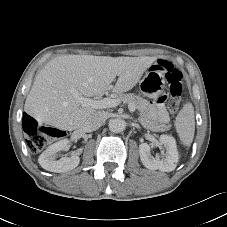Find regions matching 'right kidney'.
<instances>
[{"mask_svg": "<svg viewBox=\"0 0 227 227\" xmlns=\"http://www.w3.org/2000/svg\"><path fill=\"white\" fill-rule=\"evenodd\" d=\"M68 143L67 139H63L49 146L38 158L41 167L56 173L67 172L77 167L80 162V158L77 155L65 156L56 160V154L64 150Z\"/></svg>", "mask_w": 227, "mask_h": 227, "instance_id": "ca27d5eb", "label": "right kidney"}]
</instances>
